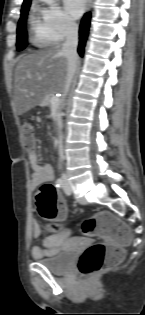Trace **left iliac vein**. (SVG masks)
Returning a JSON list of instances; mask_svg holds the SVG:
<instances>
[{"label": "left iliac vein", "instance_id": "4c4485c4", "mask_svg": "<svg viewBox=\"0 0 145 315\" xmlns=\"http://www.w3.org/2000/svg\"><path fill=\"white\" fill-rule=\"evenodd\" d=\"M63 180H64V186H63L64 192L66 195H70L72 193V188L68 181V178L64 177Z\"/></svg>", "mask_w": 145, "mask_h": 315}]
</instances>
